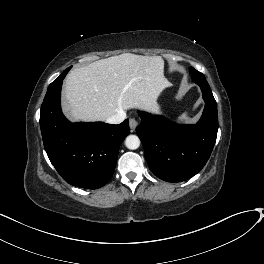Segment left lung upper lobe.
<instances>
[{"label":"left lung upper lobe","mask_w":264,"mask_h":264,"mask_svg":"<svg viewBox=\"0 0 264 264\" xmlns=\"http://www.w3.org/2000/svg\"><path fill=\"white\" fill-rule=\"evenodd\" d=\"M189 71H190L192 78L193 77H204V75L202 73H200L199 71H197L193 67H191Z\"/></svg>","instance_id":"obj_1"}]
</instances>
